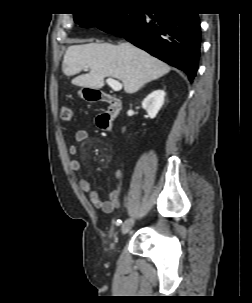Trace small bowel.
<instances>
[{
  "mask_svg": "<svg viewBox=\"0 0 252 303\" xmlns=\"http://www.w3.org/2000/svg\"><path fill=\"white\" fill-rule=\"evenodd\" d=\"M98 127L101 129H105V124L102 122L97 123ZM89 132L86 130H79L75 133V142L69 146V154L70 156H75L78 152L77 143L85 142L89 139ZM70 169L73 173L78 174L81 170V165L76 159H70L69 162ZM121 173L118 171L116 173V178L119 179ZM78 184L81 190L88 195L90 203L102 210L105 213H111L115 209H117L120 205V197L121 192L119 189H114L109 193V200L104 201L99 193L93 188L92 184L83 176L77 177Z\"/></svg>",
  "mask_w": 252,
  "mask_h": 303,
  "instance_id": "c3829d8e",
  "label": "small bowel"
}]
</instances>
